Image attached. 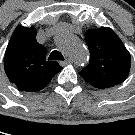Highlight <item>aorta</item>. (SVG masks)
Returning <instances> with one entry per match:
<instances>
[{
	"instance_id": "1",
	"label": "aorta",
	"mask_w": 135,
	"mask_h": 135,
	"mask_svg": "<svg viewBox=\"0 0 135 135\" xmlns=\"http://www.w3.org/2000/svg\"><path fill=\"white\" fill-rule=\"evenodd\" d=\"M58 47L66 53L71 60L78 64L84 65L88 61V51L74 34L66 31L59 32L55 37Z\"/></svg>"
}]
</instances>
